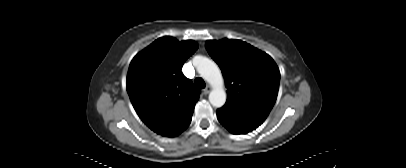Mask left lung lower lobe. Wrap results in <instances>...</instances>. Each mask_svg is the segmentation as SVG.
Masks as SVG:
<instances>
[{"label":"left lung lower lobe","instance_id":"1","mask_svg":"<svg viewBox=\"0 0 406 168\" xmlns=\"http://www.w3.org/2000/svg\"><path fill=\"white\" fill-rule=\"evenodd\" d=\"M217 118L233 134H246L264 122L259 118L243 115L226 108L217 110Z\"/></svg>","mask_w":406,"mask_h":168}]
</instances>
